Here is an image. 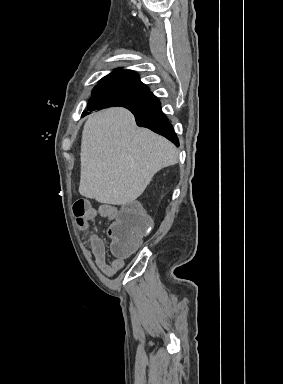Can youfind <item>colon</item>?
I'll list each match as a JSON object with an SVG mask.
<instances>
[{
  "mask_svg": "<svg viewBox=\"0 0 283 384\" xmlns=\"http://www.w3.org/2000/svg\"><path fill=\"white\" fill-rule=\"evenodd\" d=\"M89 202L78 199L73 205V212L77 221L81 219L88 209ZM151 229V220L138 203L125 205L109 228L112 240V253L119 257H126L133 252L140 243L141 236Z\"/></svg>",
  "mask_w": 283,
  "mask_h": 384,
  "instance_id": "obj_1",
  "label": "colon"
}]
</instances>
